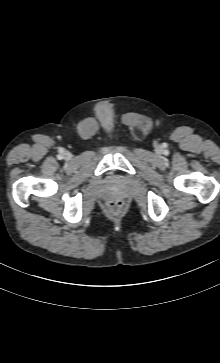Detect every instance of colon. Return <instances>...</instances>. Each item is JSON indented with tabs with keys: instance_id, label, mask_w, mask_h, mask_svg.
<instances>
[{
	"instance_id": "obj_1",
	"label": "colon",
	"mask_w": 220,
	"mask_h": 363,
	"mask_svg": "<svg viewBox=\"0 0 220 363\" xmlns=\"http://www.w3.org/2000/svg\"><path fill=\"white\" fill-rule=\"evenodd\" d=\"M107 208H108L109 212H111L113 214H118L123 208V202L118 199L111 200L110 202H108Z\"/></svg>"
}]
</instances>
